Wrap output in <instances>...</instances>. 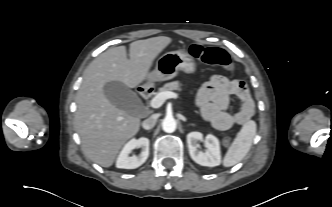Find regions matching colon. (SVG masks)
Segmentation results:
<instances>
[{
	"label": "colon",
	"mask_w": 332,
	"mask_h": 207,
	"mask_svg": "<svg viewBox=\"0 0 332 207\" xmlns=\"http://www.w3.org/2000/svg\"><path fill=\"white\" fill-rule=\"evenodd\" d=\"M189 53L206 64L221 66L229 72H234L235 70V65L230 55L223 49L192 44L189 48ZM230 141L229 137L223 138L224 145H229Z\"/></svg>",
	"instance_id": "colon-1"
}]
</instances>
